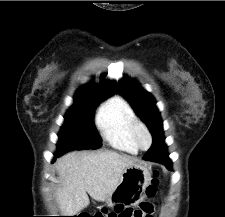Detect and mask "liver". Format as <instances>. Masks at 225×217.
Masks as SVG:
<instances>
[{
  "label": "liver",
  "instance_id": "6515ba94",
  "mask_svg": "<svg viewBox=\"0 0 225 217\" xmlns=\"http://www.w3.org/2000/svg\"><path fill=\"white\" fill-rule=\"evenodd\" d=\"M136 159L115 151L97 153L70 152L56 163L61 184L57 203L64 216H73L86 208L89 197L107 201L115 192L125 168Z\"/></svg>",
  "mask_w": 225,
  "mask_h": 217
}]
</instances>
